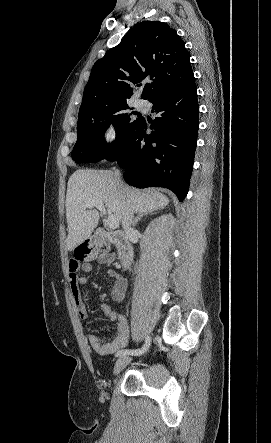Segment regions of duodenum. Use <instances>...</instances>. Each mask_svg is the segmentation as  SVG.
Segmentation results:
<instances>
[{
	"mask_svg": "<svg viewBox=\"0 0 271 443\" xmlns=\"http://www.w3.org/2000/svg\"><path fill=\"white\" fill-rule=\"evenodd\" d=\"M96 237L115 244L119 250V259L122 266H127L133 259V247L128 238L120 232L98 229Z\"/></svg>",
	"mask_w": 271,
	"mask_h": 443,
	"instance_id": "410a0bca",
	"label": "duodenum"
}]
</instances>
